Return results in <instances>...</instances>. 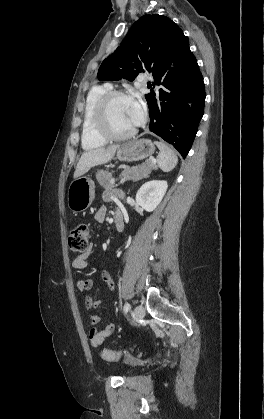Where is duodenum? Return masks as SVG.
I'll list each match as a JSON object with an SVG mask.
<instances>
[{"label": "duodenum", "instance_id": "obj_1", "mask_svg": "<svg viewBox=\"0 0 264 419\" xmlns=\"http://www.w3.org/2000/svg\"><path fill=\"white\" fill-rule=\"evenodd\" d=\"M114 223L118 231H122L124 229V219L121 214L115 215Z\"/></svg>", "mask_w": 264, "mask_h": 419}]
</instances>
